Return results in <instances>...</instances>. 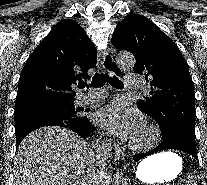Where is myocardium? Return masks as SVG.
<instances>
[{
	"mask_svg": "<svg viewBox=\"0 0 207 185\" xmlns=\"http://www.w3.org/2000/svg\"><path fill=\"white\" fill-rule=\"evenodd\" d=\"M144 127L154 138L160 137L162 134L161 129L156 124L146 122ZM128 146L132 151L135 152H140L143 148V146L138 144L134 139L129 140Z\"/></svg>",
	"mask_w": 207,
	"mask_h": 185,
	"instance_id": "obj_1",
	"label": "myocardium"
}]
</instances>
